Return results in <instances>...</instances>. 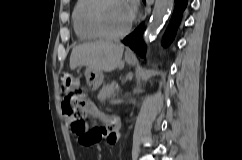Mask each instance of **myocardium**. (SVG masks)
<instances>
[{
  "instance_id": "myocardium-1",
  "label": "myocardium",
  "mask_w": 242,
  "mask_h": 160,
  "mask_svg": "<svg viewBox=\"0 0 242 160\" xmlns=\"http://www.w3.org/2000/svg\"><path fill=\"white\" fill-rule=\"evenodd\" d=\"M105 2L106 0H95L93 5L91 6L88 15L90 26L101 38L112 41L120 40L126 37L131 32L135 23V17H132L129 25L121 33L110 34L103 29L100 22V11Z\"/></svg>"
}]
</instances>
